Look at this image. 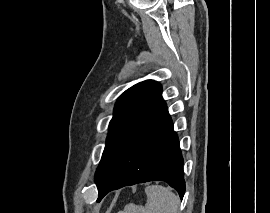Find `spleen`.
<instances>
[{
	"label": "spleen",
	"mask_w": 270,
	"mask_h": 213,
	"mask_svg": "<svg viewBox=\"0 0 270 213\" xmlns=\"http://www.w3.org/2000/svg\"><path fill=\"white\" fill-rule=\"evenodd\" d=\"M147 202L145 206L129 204L123 213H178L179 198L168 187L148 186L145 189Z\"/></svg>",
	"instance_id": "spleen-1"
}]
</instances>
